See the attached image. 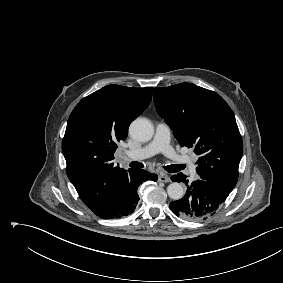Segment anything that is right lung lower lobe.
Listing matches in <instances>:
<instances>
[{
    "mask_svg": "<svg viewBox=\"0 0 283 283\" xmlns=\"http://www.w3.org/2000/svg\"><path fill=\"white\" fill-rule=\"evenodd\" d=\"M146 179L157 181L158 176L145 170H134L124 191L91 210L96 215L107 219L127 216L135 210L139 201L137 188Z\"/></svg>",
    "mask_w": 283,
    "mask_h": 283,
    "instance_id": "obj_1",
    "label": "right lung lower lobe"
}]
</instances>
